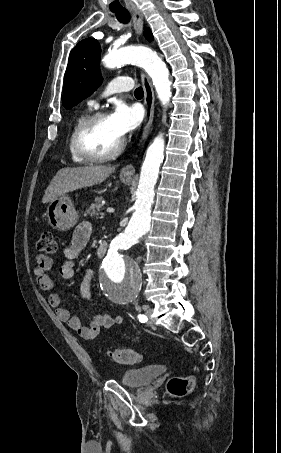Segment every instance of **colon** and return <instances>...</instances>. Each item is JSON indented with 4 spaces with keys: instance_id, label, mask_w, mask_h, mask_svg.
Masks as SVG:
<instances>
[{
    "instance_id": "colon-1",
    "label": "colon",
    "mask_w": 281,
    "mask_h": 453,
    "mask_svg": "<svg viewBox=\"0 0 281 453\" xmlns=\"http://www.w3.org/2000/svg\"><path fill=\"white\" fill-rule=\"evenodd\" d=\"M37 249L39 254L44 250L45 255H58L59 248L55 244V232L53 230H45L41 239L38 241ZM108 356L111 362L114 363H141L145 360L142 353L131 349L114 348L109 350ZM191 378L188 375H179L173 377L168 385V390L173 396H184L190 387Z\"/></svg>"
}]
</instances>
